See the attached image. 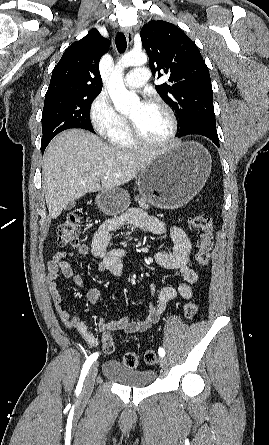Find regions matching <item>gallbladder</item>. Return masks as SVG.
Listing matches in <instances>:
<instances>
[{"instance_id": "bac80fb5", "label": "gallbladder", "mask_w": 269, "mask_h": 445, "mask_svg": "<svg viewBox=\"0 0 269 445\" xmlns=\"http://www.w3.org/2000/svg\"><path fill=\"white\" fill-rule=\"evenodd\" d=\"M75 206V202L74 201H70L67 203V205L65 206V210H70Z\"/></svg>"}]
</instances>
